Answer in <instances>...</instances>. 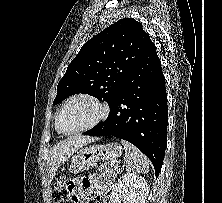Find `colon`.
Masks as SVG:
<instances>
[{
	"label": "colon",
	"mask_w": 222,
	"mask_h": 203,
	"mask_svg": "<svg viewBox=\"0 0 222 203\" xmlns=\"http://www.w3.org/2000/svg\"><path fill=\"white\" fill-rule=\"evenodd\" d=\"M74 184L65 179H59L54 190L55 203H71L73 200Z\"/></svg>",
	"instance_id": "1"
}]
</instances>
